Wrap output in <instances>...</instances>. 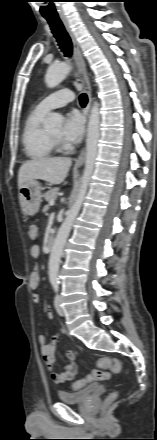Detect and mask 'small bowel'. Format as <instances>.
Returning <instances> with one entry per match:
<instances>
[{
    "instance_id": "1",
    "label": "small bowel",
    "mask_w": 157,
    "mask_h": 440,
    "mask_svg": "<svg viewBox=\"0 0 157 440\" xmlns=\"http://www.w3.org/2000/svg\"><path fill=\"white\" fill-rule=\"evenodd\" d=\"M31 255L34 258H37L39 255V246L37 244H34L31 248ZM40 277H39V270L36 267L31 275H30V285L33 289H36L39 285ZM33 299L36 303L40 302V295L38 293H35L33 295ZM46 313L49 319L53 318L52 310L50 307H47ZM39 343L41 345V353L43 356V360L45 362V365L49 370H51V378L56 384H62L68 381H71L78 372V367L75 360V354L72 350L65 351V358L68 361V363L65 365L63 371L61 372H55L52 371L54 363H55V350H56V344L58 341V335L55 334L50 342L46 341V336L43 332H41L38 336Z\"/></svg>"
}]
</instances>
